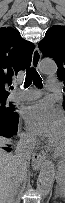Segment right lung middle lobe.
I'll use <instances>...</instances> for the list:
<instances>
[{
	"mask_svg": "<svg viewBox=\"0 0 65 203\" xmlns=\"http://www.w3.org/2000/svg\"><path fill=\"white\" fill-rule=\"evenodd\" d=\"M6 98L7 97H0V118H14L18 116L13 106H5Z\"/></svg>",
	"mask_w": 65,
	"mask_h": 203,
	"instance_id": "obj_1",
	"label": "right lung middle lobe"
}]
</instances>
